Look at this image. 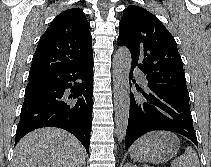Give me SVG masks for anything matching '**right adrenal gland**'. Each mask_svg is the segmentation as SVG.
<instances>
[{
  "label": "right adrenal gland",
  "mask_w": 211,
  "mask_h": 167,
  "mask_svg": "<svg viewBox=\"0 0 211 167\" xmlns=\"http://www.w3.org/2000/svg\"><path fill=\"white\" fill-rule=\"evenodd\" d=\"M83 167H85V162H84V164H83Z\"/></svg>",
  "instance_id": "1"
}]
</instances>
